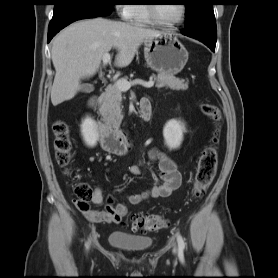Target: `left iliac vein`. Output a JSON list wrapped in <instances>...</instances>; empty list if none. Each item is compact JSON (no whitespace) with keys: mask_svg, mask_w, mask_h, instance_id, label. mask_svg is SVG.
Segmentation results:
<instances>
[{"mask_svg":"<svg viewBox=\"0 0 278 278\" xmlns=\"http://www.w3.org/2000/svg\"><path fill=\"white\" fill-rule=\"evenodd\" d=\"M174 252H176V248L174 247Z\"/></svg>","mask_w":278,"mask_h":278,"instance_id":"obj_1","label":"left iliac vein"}]
</instances>
